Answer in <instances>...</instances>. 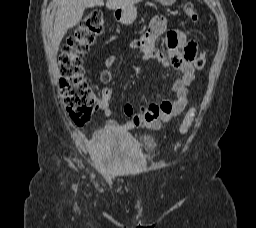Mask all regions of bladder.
Instances as JSON below:
<instances>
[{"label": "bladder", "instance_id": "obj_1", "mask_svg": "<svg viewBox=\"0 0 256 228\" xmlns=\"http://www.w3.org/2000/svg\"><path fill=\"white\" fill-rule=\"evenodd\" d=\"M93 154L101 166L107 167L110 163L120 171H131L142 168L146 164V155L139 143L132 137L118 133H104L95 137ZM145 146L155 151L157 141L153 135H146Z\"/></svg>", "mask_w": 256, "mask_h": 228}]
</instances>
